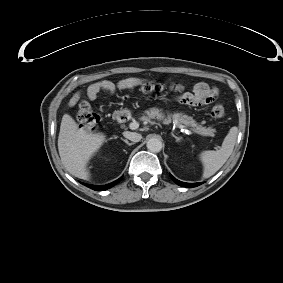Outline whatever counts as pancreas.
I'll use <instances>...</instances> for the list:
<instances>
[{
	"label": "pancreas",
	"mask_w": 283,
	"mask_h": 283,
	"mask_svg": "<svg viewBox=\"0 0 283 283\" xmlns=\"http://www.w3.org/2000/svg\"><path fill=\"white\" fill-rule=\"evenodd\" d=\"M148 116L150 118H157L158 120H164V115L160 113L158 109H151L150 111L147 112ZM171 117L173 120L176 122V124H181V123H191L192 119L186 115H182L180 113L174 114L172 116H168L165 121H170Z\"/></svg>",
	"instance_id": "obj_1"
}]
</instances>
